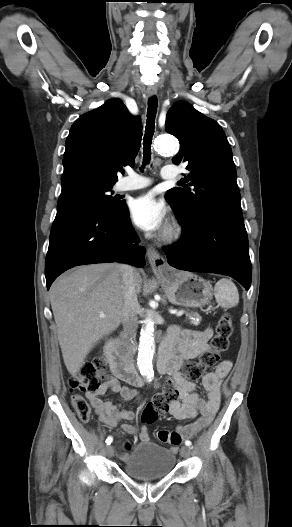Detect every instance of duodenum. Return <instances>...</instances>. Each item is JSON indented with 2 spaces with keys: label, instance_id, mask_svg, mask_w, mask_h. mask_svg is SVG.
<instances>
[{
  "label": "duodenum",
  "instance_id": "duodenum-1",
  "mask_svg": "<svg viewBox=\"0 0 292 527\" xmlns=\"http://www.w3.org/2000/svg\"><path fill=\"white\" fill-rule=\"evenodd\" d=\"M106 349L110 357L113 372L121 376L122 379L129 384L141 386L143 384V380L136 373L130 360L124 355L120 341L118 339L111 340L108 343ZM170 358V350L167 345L163 343L160 347L157 361V370L159 373L163 374L167 372Z\"/></svg>",
  "mask_w": 292,
  "mask_h": 527
}]
</instances>
